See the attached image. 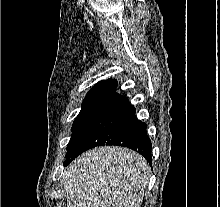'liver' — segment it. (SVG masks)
Returning a JSON list of instances; mask_svg holds the SVG:
<instances>
[{"mask_svg":"<svg viewBox=\"0 0 220 207\" xmlns=\"http://www.w3.org/2000/svg\"><path fill=\"white\" fill-rule=\"evenodd\" d=\"M149 177L147 161L128 148L91 149L64 172L67 207H140Z\"/></svg>","mask_w":220,"mask_h":207,"instance_id":"liver-1","label":"liver"}]
</instances>
